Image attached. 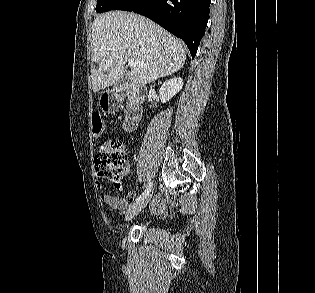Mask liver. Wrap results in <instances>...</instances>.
<instances>
[{"mask_svg":"<svg viewBox=\"0 0 315 293\" xmlns=\"http://www.w3.org/2000/svg\"><path fill=\"white\" fill-rule=\"evenodd\" d=\"M93 91L113 85L124 73L125 63L141 65L126 72L135 86L147 85L182 68L186 53L181 42L151 20L123 11L97 16L92 25Z\"/></svg>","mask_w":315,"mask_h":293,"instance_id":"liver-1","label":"liver"}]
</instances>
